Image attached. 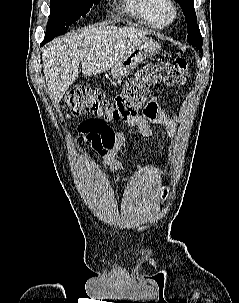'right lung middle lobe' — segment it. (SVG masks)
<instances>
[{"label": "right lung middle lobe", "instance_id": "right-lung-middle-lobe-1", "mask_svg": "<svg viewBox=\"0 0 239 303\" xmlns=\"http://www.w3.org/2000/svg\"><path fill=\"white\" fill-rule=\"evenodd\" d=\"M100 0H51L50 16L46 27V36L50 40L66 33L81 16H85L93 4Z\"/></svg>", "mask_w": 239, "mask_h": 303}]
</instances>
